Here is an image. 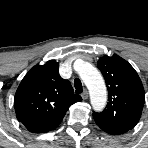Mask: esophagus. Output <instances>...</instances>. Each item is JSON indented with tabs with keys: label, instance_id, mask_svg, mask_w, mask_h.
Segmentation results:
<instances>
[{
	"label": "esophagus",
	"instance_id": "esophagus-1",
	"mask_svg": "<svg viewBox=\"0 0 148 148\" xmlns=\"http://www.w3.org/2000/svg\"><path fill=\"white\" fill-rule=\"evenodd\" d=\"M88 91H87V89H84V91H83V93H82V98L84 99V100H87L88 99Z\"/></svg>",
	"mask_w": 148,
	"mask_h": 148
}]
</instances>
